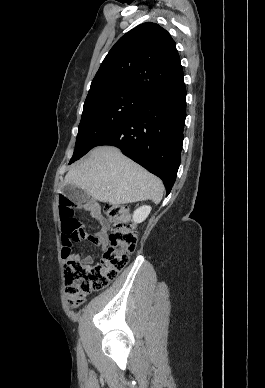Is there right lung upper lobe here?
Segmentation results:
<instances>
[{
	"label": "right lung upper lobe",
	"mask_w": 265,
	"mask_h": 388,
	"mask_svg": "<svg viewBox=\"0 0 265 388\" xmlns=\"http://www.w3.org/2000/svg\"><path fill=\"white\" fill-rule=\"evenodd\" d=\"M184 77L176 44L156 23L138 25L122 36L96 73L89 94L124 91L141 96Z\"/></svg>",
	"instance_id": "right-lung-upper-lobe-1"
}]
</instances>
